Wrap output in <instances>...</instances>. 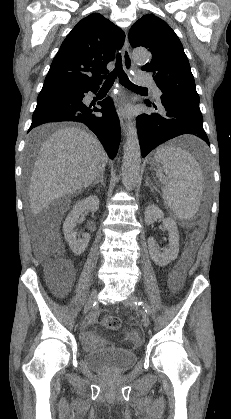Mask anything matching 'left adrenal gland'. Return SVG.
Listing matches in <instances>:
<instances>
[{
  "instance_id": "obj_1",
  "label": "left adrenal gland",
  "mask_w": 231,
  "mask_h": 419,
  "mask_svg": "<svg viewBox=\"0 0 231 419\" xmlns=\"http://www.w3.org/2000/svg\"><path fill=\"white\" fill-rule=\"evenodd\" d=\"M149 182H150V179L147 178L145 186H148L151 189V191L154 192V187L152 184H149Z\"/></svg>"
}]
</instances>
